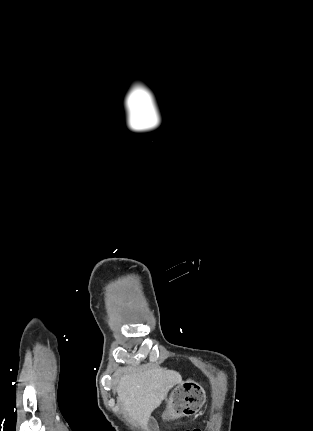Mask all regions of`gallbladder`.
<instances>
[{
  "label": "gallbladder",
  "instance_id": "bac80fb5",
  "mask_svg": "<svg viewBox=\"0 0 313 431\" xmlns=\"http://www.w3.org/2000/svg\"><path fill=\"white\" fill-rule=\"evenodd\" d=\"M149 426L153 429L152 431H156V422L154 419L149 421Z\"/></svg>",
  "mask_w": 313,
  "mask_h": 431
}]
</instances>
